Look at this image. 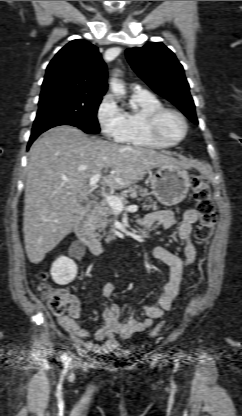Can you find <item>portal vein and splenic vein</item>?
<instances>
[{"mask_svg": "<svg viewBox=\"0 0 242 416\" xmlns=\"http://www.w3.org/2000/svg\"><path fill=\"white\" fill-rule=\"evenodd\" d=\"M100 178H101V174L99 173L95 174L94 176L90 178L89 185L91 187H95L96 184L99 182ZM101 195L105 198V200L108 202V204L111 206V208L114 211H118V212H121L123 210L136 211L138 209L137 205H130V206L125 207L123 201L120 198L116 197L115 195H109L107 193H102Z\"/></svg>", "mask_w": 242, "mask_h": 416, "instance_id": "18ae733b", "label": "portal vein and splenic vein"}]
</instances>
